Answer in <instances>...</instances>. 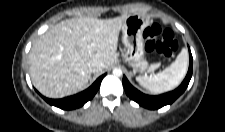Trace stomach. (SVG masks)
<instances>
[{"label": "stomach", "instance_id": "obj_1", "mask_svg": "<svg viewBox=\"0 0 225 132\" xmlns=\"http://www.w3.org/2000/svg\"><path fill=\"white\" fill-rule=\"evenodd\" d=\"M149 25L148 19L142 15H129L122 24V42L125 46L124 60L134 71L146 73L148 63L144 59L143 32Z\"/></svg>", "mask_w": 225, "mask_h": 132}]
</instances>
